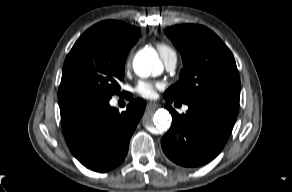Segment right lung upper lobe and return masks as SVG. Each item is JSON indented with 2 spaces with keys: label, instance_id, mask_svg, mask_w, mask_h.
<instances>
[{
  "label": "right lung upper lobe",
  "instance_id": "right-lung-upper-lobe-1",
  "mask_svg": "<svg viewBox=\"0 0 292 192\" xmlns=\"http://www.w3.org/2000/svg\"><path fill=\"white\" fill-rule=\"evenodd\" d=\"M114 49H131L140 36V29L123 22L107 20L93 26Z\"/></svg>",
  "mask_w": 292,
  "mask_h": 192
}]
</instances>
